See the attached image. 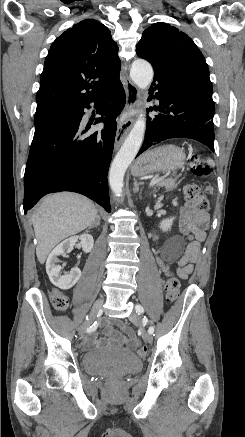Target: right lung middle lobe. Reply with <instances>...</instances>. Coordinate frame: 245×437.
I'll return each mask as SVG.
<instances>
[{
    "mask_svg": "<svg viewBox=\"0 0 245 437\" xmlns=\"http://www.w3.org/2000/svg\"><path fill=\"white\" fill-rule=\"evenodd\" d=\"M64 106H55L43 110H37L34 118L35 126L41 123L44 119H46L49 115L53 114L56 111L62 110Z\"/></svg>",
    "mask_w": 245,
    "mask_h": 437,
    "instance_id": "1",
    "label": "right lung middle lobe"
}]
</instances>
